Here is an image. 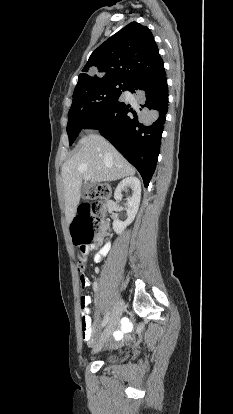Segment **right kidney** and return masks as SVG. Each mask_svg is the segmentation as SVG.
<instances>
[{
	"label": "right kidney",
	"instance_id": "1",
	"mask_svg": "<svg viewBox=\"0 0 233 414\" xmlns=\"http://www.w3.org/2000/svg\"><path fill=\"white\" fill-rule=\"evenodd\" d=\"M130 188L132 196L127 199L126 212L127 219L123 222L119 219L113 221V230L117 234H121L124 229L134 220L140 205L141 199V184L138 178L130 176L123 179L115 189L114 198L119 201L122 199V191Z\"/></svg>",
	"mask_w": 233,
	"mask_h": 414
}]
</instances>
